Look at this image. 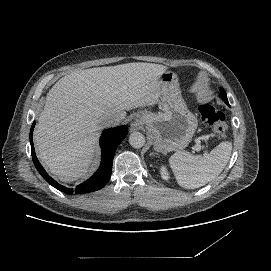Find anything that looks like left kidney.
Returning a JSON list of instances; mask_svg holds the SVG:
<instances>
[{"label":"left kidney","mask_w":271,"mask_h":271,"mask_svg":"<svg viewBox=\"0 0 271 271\" xmlns=\"http://www.w3.org/2000/svg\"><path fill=\"white\" fill-rule=\"evenodd\" d=\"M161 174H162V177H163L164 179H167V178H168L167 172L165 171L164 168L161 169Z\"/></svg>","instance_id":"obj_1"}]
</instances>
